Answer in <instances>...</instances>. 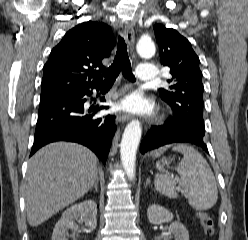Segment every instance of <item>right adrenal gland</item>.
Wrapping results in <instances>:
<instances>
[{"mask_svg": "<svg viewBox=\"0 0 248 240\" xmlns=\"http://www.w3.org/2000/svg\"><path fill=\"white\" fill-rule=\"evenodd\" d=\"M93 188L95 189L96 192H98V180L95 182ZM92 190V188H91Z\"/></svg>", "mask_w": 248, "mask_h": 240, "instance_id": "obj_1", "label": "right adrenal gland"}]
</instances>
